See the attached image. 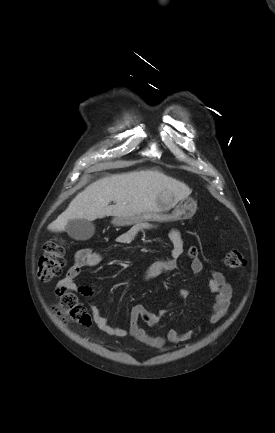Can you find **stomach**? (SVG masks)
<instances>
[{
	"mask_svg": "<svg viewBox=\"0 0 275 433\" xmlns=\"http://www.w3.org/2000/svg\"><path fill=\"white\" fill-rule=\"evenodd\" d=\"M177 199L170 195L165 199L159 198L156 211L146 212L128 217H115L112 223L115 226H126L140 222H170L190 219L196 212L197 204L192 199H182L179 203ZM172 208L173 211L169 213Z\"/></svg>",
	"mask_w": 275,
	"mask_h": 433,
	"instance_id": "obj_1",
	"label": "stomach"
}]
</instances>
